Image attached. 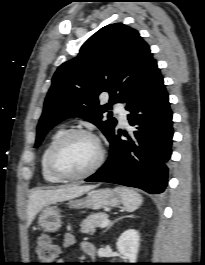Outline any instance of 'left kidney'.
Returning a JSON list of instances; mask_svg holds the SVG:
<instances>
[{
  "instance_id": "obj_1",
  "label": "left kidney",
  "mask_w": 205,
  "mask_h": 265,
  "mask_svg": "<svg viewBox=\"0 0 205 265\" xmlns=\"http://www.w3.org/2000/svg\"><path fill=\"white\" fill-rule=\"evenodd\" d=\"M140 236L135 229H128L121 234L117 240V249L119 253L129 260L130 263H136L139 250Z\"/></svg>"
}]
</instances>
